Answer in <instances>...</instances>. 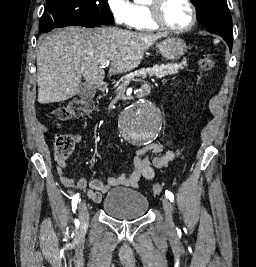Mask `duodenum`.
<instances>
[{"instance_id": "obj_1", "label": "duodenum", "mask_w": 256, "mask_h": 267, "mask_svg": "<svg viewBox=\"0 0 256 267\" xmlns=\"http://www.w3.org/2000/svg\"><path fill=\"white\" fill-rule=\"evenodd\" d=\"M148 86L149 83H145V85H139V89H134L133 93L134 94H138L135 95V98L138 99H146L148 94ZM97 89H101L102 91L106 90V89H110V84L108 81H99L97 84Z\"/></svg>"}]
</instances>
